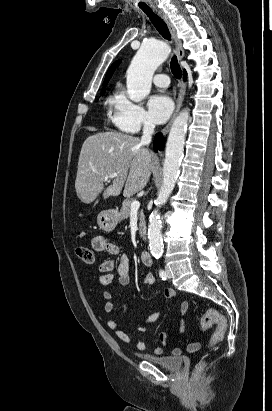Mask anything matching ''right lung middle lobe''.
I'll use <instances>...</instances> for the list:
<instances>
[{
	"label": "right lung middle lobe",
	"instance_id": "obj_1",
	"mask_svg": "<svg viewBox=\"0 0 272 411\" xmlns=\"http://www.w3.org/2000/svg\"><path fill=\"white\" fill-rule=\"evenodd\" d=\"M104 92H105V90L101 91V95H103V94H104Z\"/></svg>",
	"mask_w": 272,
	"mask_h": 411
}]
</instances>
